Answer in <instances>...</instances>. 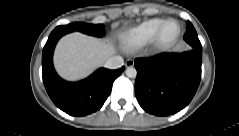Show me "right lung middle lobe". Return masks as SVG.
Wrapping results in <instances>:
<instances>
[{"instance_id":"dd1d6c3e","label":"right lung middle lobe","mask_w":239,"mask_h":136,"mask_svg":"<svg viewBox=\"0 0 239 136\" xmlns=\"http://www.w3.org/2000/svg\"><path fill=\"white\" fill-rule=\"evenodd\" d=\"M59 31H62L63 34H67L73 31H79L88 35L102 37L105 34V27L102 24L92 25L88 23H71L64 26L57 27Z\"/></svg>"}]
</instances>
